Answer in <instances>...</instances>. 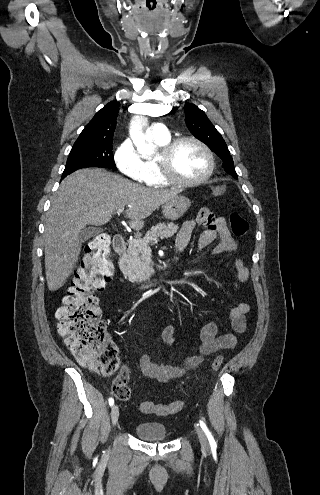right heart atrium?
Masks as SVG:
<instances>
[{
    "label": "right heart atrium",
    "instance_id": "obj_1",
    "mask_svg": "<svg viewBox=\"0 0 320 495\" xmlns=\"http://www.w3.org/2000/svg\"><path fill=\"white\" fill-rule=\"evenodd\" d=\"M115 163L119 171L126 177L137 181L147 182L148 175L143 160L138 155L130 139H125L116 149Z\"/></svg>",
    "mask_w": 320,
    "mask_h": 495
}]
</instances>
